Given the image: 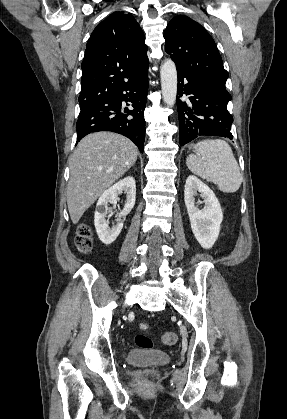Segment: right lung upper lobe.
I'll return each instance as SVG.
<instances>
[{
	"label": "right lung upper lobe",
	"mask_w": 287,
	"mask_h": 419,
	"mask_svg": "<svg viewBox=\"0 0 287 419\" xmlns=\"http://www.w3.org/2000/svg\"><path fill=\"white\" fill-rule=\"evenodd\" d=\"M145 37L131 14L114 12L91 34L81 64L80 107L147 73Z\"/></svg>",
	"instance_id": "cb5924a9"
}]
</instances>
